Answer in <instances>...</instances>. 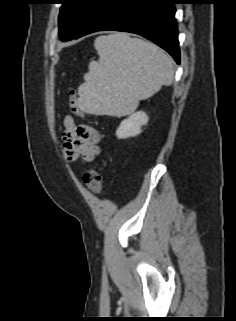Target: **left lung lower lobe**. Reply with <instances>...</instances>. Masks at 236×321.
Segmentation results:
<instances>
[{
	"mask_svg": "<svg viewBox=\"0 0 236 321\" xmlns=\"http://www.w3.org/2000/svg\"><path fill=\"white\" fill-rule=\"evenodd\" d=\"M174 4L178 0H101L74 39L101 30L135 33L165 49L179 64Z\"/></svg>",
	"mask_w": 236,
	"mask_h": 321,
	"instance_id": "1",
	"label": "left lung lower lobe"
}]
</instances>
